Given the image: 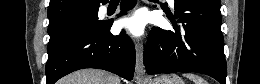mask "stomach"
Returning a JSON list of instances; mask_svg holds the SVG:
<instances>
[{
    "label": "stomach",
    "mask_w": 260,
    "mask_h": 84,
    "mask_svg": "<svg viewBox=\"0 0 260 84\" xmlns=\"http://www.w3.org/2000/svg\"><path fill=\"white\" fill-rule=\"evenodd\" d=\"M149 84H184V81L176 74H164L154 78Z\"/></svg>",
    "instance_id": "0dacf381"
}]
</instances>
